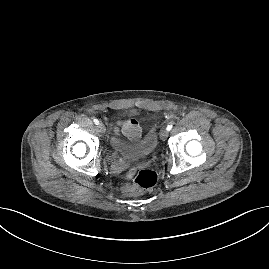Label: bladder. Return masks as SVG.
<instances>
[{"label": "bladder", "instance_id": "1", "mask_svg": "<svg viewBox=\"0 0 269 269\" xmlns=\"http://www.w3.org/2000/svg\"><path fill=\"white\" fill-rule=\"evenodd\" d=\"M109 142L112 150L117 154L144 157L155 151L158 139L155 128L149 127L139 139L133 142L124 141L115 134L110 136Z\"/></svg>", "mask_w": 269, "mask_h": 269}]
</instances>
